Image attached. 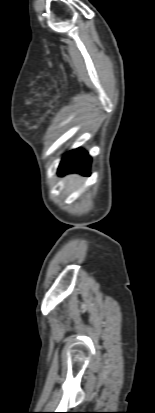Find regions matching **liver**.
I'll return each mask as SVG.
<instances>
[{"label":"liver","mask_w":155,"mask_h":413,"mask_svg":"<svg viewBox=\"0 0 155 413\" xmlns=\"http://www.w3.org/2000/svg\"><path fill=\"white\" fill-rule=\"evenodd\" d=\"M74 177H75V176H70V177H69L68 184H72V183H73Z\"/></svg>","instance_id":"6515ba94"}]
</instances>
